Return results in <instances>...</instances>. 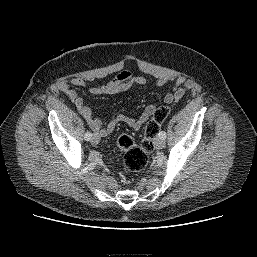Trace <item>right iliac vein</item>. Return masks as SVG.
I'll return each mask as SVG.
<instances>
[{
	"label": "right iliac vein",
	"instance_id": "obj_1",
	"mask_svg": "<svg viewBox=\"0 0 257 257\" xmlns=\"http://www.w3.org/2000/svg\"><path fill=\"white\" fill-rule=\"evenodd\" d=\"M99 140H100V138H98L95 135H93L92 138H91V143L96 145V144L99 143Z\"/></svg>",
	"mask_w": 257,
	"mask_h": 257
}]
</instances>
